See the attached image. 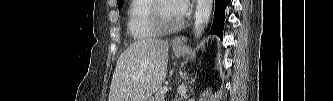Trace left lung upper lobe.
<instances>
[{
    "label": "left lung upper lobe",
    "instance_id": "obj_1",
    "mask_svg": "<svg viewBox=\"0 0 333 101\" xmlns=\"http://www.w3.org/2000/svg\"><path fill=\"white\" fill-rule=\"evenodd\" d=\"M118 2V8L120 9L123 5V0H117Z\"/></svg>",
    "mask_w": 333,
    "mask_h": 101
}]
</instances>
